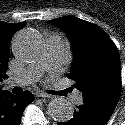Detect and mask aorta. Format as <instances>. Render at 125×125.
Segmentation results:
<instances>
[{
  "label": "aorta",
  "mask_w": 125,
  "mask_h": 125,
  "mask_svg": "<svg viewBox=\"0 0 125 125\" xmlns=\"http://www.w3.org/2000/svg\"><path fill=\"white\" fill-rule=\"evenodd\" d=\"M41 38L30 30L20 31L14 38V50L19 59L32 61L38 54ZM48 115L59 122H66L73 117V106L64 97L51 100L47 107Z\"/></svg>",
  "instance_id": "obj_1"
}]
</instances>
